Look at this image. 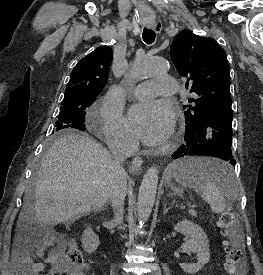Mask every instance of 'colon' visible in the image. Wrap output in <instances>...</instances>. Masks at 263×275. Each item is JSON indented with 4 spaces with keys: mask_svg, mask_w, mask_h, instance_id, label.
<instances>
[{
    "mask_svg": "<svg viewBox=\"0 0 263 275\" xmlns=\"http://www.w3.org/2000/svg\"><path fill=\"white\" fill-rule=\"evenodd\" d=\"M219 225L226 237L224 242L226 254L224 269L226 274L245 275L242 234L234 213L231 211L224 212L219 218ZM66 260L73 270H81L86 266L81 251L73 242L68 245Z\"/></svg>",
    "mask_w": 263,
    "mask_h": 275,
    "instance_id": "colon-1",
    "label": "colon"
}]
</instances>
